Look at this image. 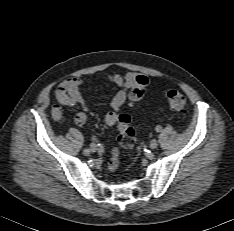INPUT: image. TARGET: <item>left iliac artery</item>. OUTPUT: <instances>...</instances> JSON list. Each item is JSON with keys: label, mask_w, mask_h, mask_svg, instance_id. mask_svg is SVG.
<instances>
[{"label": "left iliac artery", "mask_w": 234, "mask_h": 231, "mask_svg": "<svg viewBox=\"0 0 234 231\" xmlns=\"http://www.w3.org/2000/svg\"><path fill=\"white\" fill-rule=\"evenodd\" d=\"M155 130H156L157 132H160V131L162 130V127L158 125V126H156Z\"/></svg>", "instance_id": "left-iliac-artery-1"}]
</instances>
